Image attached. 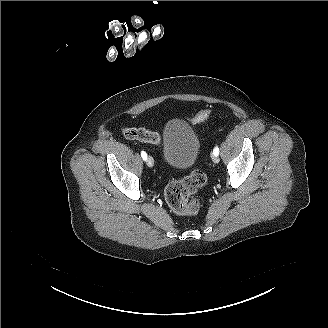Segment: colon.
<instances>
[{
  "label": "colon",
  "instance_id": "1",
  "mask_svg": "<svg viewBox=\"0 0 328 328\" xmlns=\"http://www.w3.org/2000/svg\"><path fill=\"white\" fill-rule=\"evenodd\" d=\"M212 113L211 109H202L189 119L192 123H201ZM124 136L129 140L160 144L157 133L144 128L126 127ZM207 177L201 170H194L184 178L170 182L165 189L166 203L172 212L179 216L192 217L200 210V200L194 194L206 183Z\"/></svg>",
  "mask_w": 328,
  "mask_h": 328
}]
</instances>
